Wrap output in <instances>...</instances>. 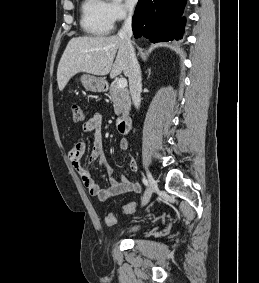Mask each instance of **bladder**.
<instances>
[{
  "instance_id": "obj_1",
  "label": "bladder",
  "mask_w": 259,
  "mask_h": 283,
  "mask_svg": "<svg viewBox=\"0 0 259 283\" xmlns=\"http://www.w3.org/2000/svg\"><path fill=\"white\" fill-rule=\"evenodd\" d=\"M140 228H141V225H139V224L131 225L123 231V234H133V233L139 231Z\"/></svg>"
}]
</instances>
